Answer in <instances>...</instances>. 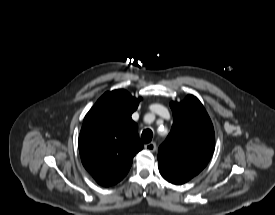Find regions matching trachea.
<instances>
[{"label": "trachea", "instance_id": "1", "mask_svg": "<svg viewBox=\"0 0 275 215\" xmlns=\"http://www.w3.org/2000/svg\"><path fill=\"white\" fill-rule=\"evenodd\" d=\"M152 137H153V133L150 129H146L142 132V135H141V142L142 143H149L151 142L152 140Z\"/></svg>", "mask_w": 275, "mask_h": 215}]
</instances>
